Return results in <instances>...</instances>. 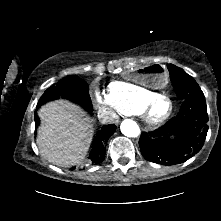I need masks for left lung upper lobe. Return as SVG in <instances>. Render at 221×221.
Here are the masks:
<instances>
[{
	"label": "left lung upper lobe",
	"mask_w": 221,
	"mask_h": 221,
	"mask_svg": "<svg viewBox=\"0 0 221 221\" xmlns=\"http://www.w3.org/2000/svg\"><path fill=\"white\" fill-rule=\"evenodd\" d=\"M168 70L176 93L182 101L203 96L199 85L183 69L170 64Z\"/></svg>",
	"instance_id": "obj_1"
}]
</instances>
